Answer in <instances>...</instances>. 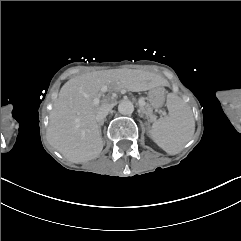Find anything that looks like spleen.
Returning a JSON list of instances; mask_svg holds the SVG:
<instances>
[{
  "label": "spleen",
  "instance_id": "3e777b00",
  "mask_svg": "<svg viewBox=\"0 0 241 241\" xmlns=\"http://www.w3.org/2000/svg\"><path fill=\"white\" fill-rule=\"evenodd\" d=\"M169 116L155 121L150 130L154 142L170 155L179 153L194 134L195 123L189 105L178 95L168 97Z\"/></svg>",
  "mask_w": 241,
  "mask_h": 241
}]
</instances>
